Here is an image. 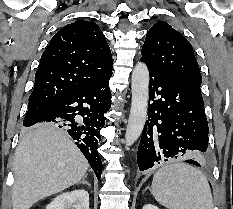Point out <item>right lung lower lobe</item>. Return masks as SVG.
Masks as SVG:
<instances>
[{"label": "right lung lower lobe", "mask_w": 233, "mask_h": 209, "mask_svg": "<svg viewBox=\"0 0 233 209\" xmlns=\"http://www.w3.org/2000/svg\"><path fill=\"white\" fill-rule=\"evenodd\" d=\"M111 76L112 73L87 87L52 99L23 121L25 127L50 122L67 131L98 179L101 178L102 162L97 148L101 139L100 129L105 125L104 114L111 107Z\"/></svg>", "instance_id": "98d812e1"}]
</instances>
